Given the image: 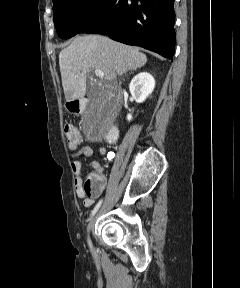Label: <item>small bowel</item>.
Masks as SVG:
<instances>
[{"label":"small bowel","instance_id":"1","mask_svg":"<svg viewBox=\"0 0 240 288\" xmlns=\"http://www.w3.org/2000/svg\"><path fill=\"white\" fill-rule=\"evenodd\" d=\"M99 152L102 155H107L108 157L113 156V154L108 153L104 147L99 148ZM93 154V148L89 144L82 145L76 152L71 155V168L74 174V187L78 197L83 199V204L86 207H91L94 204V199L101 195L106 187V178L103 174V167L98 161L90 162L89 166L92 169L90 176L94 177L99 182V191L92 197H86L83 191V180L81 177L82 163L80 157H90Z\"/></svg>","mask_w":240,"mask_h":288}]
</instances>
